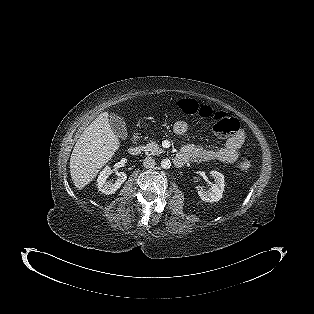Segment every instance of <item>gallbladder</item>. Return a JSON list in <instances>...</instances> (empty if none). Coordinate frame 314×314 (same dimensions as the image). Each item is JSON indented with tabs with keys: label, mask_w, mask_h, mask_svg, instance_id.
Instances as JSON below:
<instances>
[{
	"label": "gallbladder",
	"mask_w": 314,
	"mask_h": 314,
	"mask_svg": "<svg viewBox=\"0 0 314 314\" xmlns=\"http://www.w3.org/2000/svg\"><path fill=\"white\" fill-rule=\"evenodd\" d=\"M110 120H111V127L114 133L122 140H125L128 134H127V127H126V123L124 119L118 114L112 113Z\"/></svg>",
	"instance_id": "bac80fb5"
}]
</instances>
